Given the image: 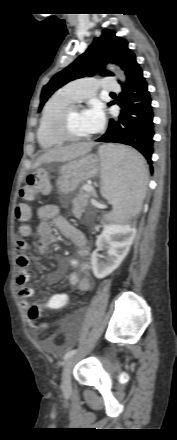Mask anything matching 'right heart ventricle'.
<instances>
[{"label": "right heart ventricle", "mask_w": 177, "mask_h": 440, "mask_svg": "<svg viewBox=\"0 0 177 440\" xmlns=\"http://www.w3.org/2000/svg\"><path fill=\"white\" fill-rule=\"evenodd\" d=\"M75 102L66 88L57 91L48 99L41 112L37 127L38 143L43 149L54 148L61 144L51 132V123L63 107Z\"/></svg>", "instance_id": "e07e8e85"}]
</instances>
